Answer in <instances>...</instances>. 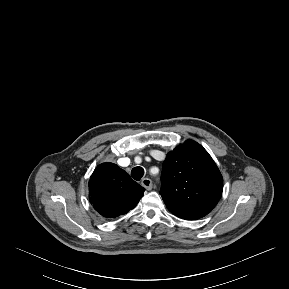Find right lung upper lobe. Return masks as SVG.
<instances>
[{
  "label": "right lung upper lobe",
  "mask_w": 289,
  "mask_h": 289,
  "mask_svg": "<svg viewBox=\"0 0 289 289\" xmlns=\"http://www.w3.org/2000/svg\"><path fill=\"white\" fill-rule=\"evenodd\" d=\"M89 201L102 216L115 218L133 209L145 189L114 163L98 165L89 180Z\"/></svg>",
  "instance_id": "obj_1"
}]
</instances>
